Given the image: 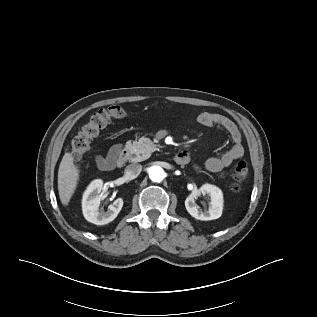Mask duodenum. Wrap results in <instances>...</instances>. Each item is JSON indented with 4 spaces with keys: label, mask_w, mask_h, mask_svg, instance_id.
I'll list each match as a JSON object with an SVG mask.
<instances>
[{
    "label": "duodenum",
    "mask_w": 317,
    "mask_h": 317,
    "mask_svg": "<svg viewBox=\"0 0 317 317\" xmlns=\"http://www.w3.org/2000/svg\"><path fill=\"white\" fill-rule=\"evenodd\" d=\"M129 159V151L122 149L117 157L107 161L105 170L110 171L117 167H122ZM189 159V155L186 151H180L176 153L174 160L177 164H185Z\"/></svg>",
    "instance_id": "duodenum-1"
}]
</instances>
